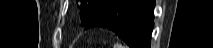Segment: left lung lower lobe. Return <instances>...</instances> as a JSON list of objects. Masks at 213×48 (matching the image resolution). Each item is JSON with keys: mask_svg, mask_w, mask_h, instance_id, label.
Instances as JSON below:
<instances>
[{"mask_svg": "<svg viewBox=\"0 0 213 48\" xmlns=\"http://www.w3.org/2000/svg\"><path fill=\"white\" fill-rule=\"evenodd\" d=\"M154 0H110L85 24V29L105 27L130 48H150Z\"/></svg>", "mask_w": 213, "mask_h": 48, "instance_id": "1", "label": "left lung lower lobe"}]
</instances>
